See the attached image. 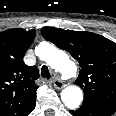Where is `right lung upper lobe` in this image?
<instances>
[{
  "instance_id": "obj_1",
  "label": "right lung upper lobe",
  "mask_w": 116,
  "mask_h": 116,
  "mask_svg": "<svg viewBox=\"0 0 116 116\" xmlns=\"http://www.w3.org/2000/svg\"><path fill=\"white\" fill-rule=\"evenodd\" d=\"M35 34L25 29L0 32V116H28L35 108L38 69L23 62Z\"/></svg>"
}]
</instances>
